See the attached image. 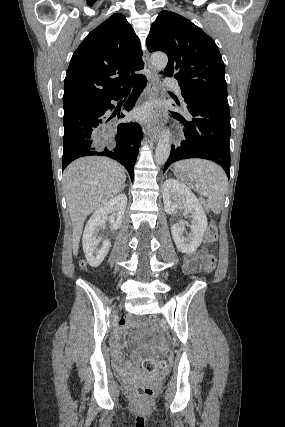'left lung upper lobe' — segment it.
<instances>
[{
    "label": "left lung upper lobe",
    "mask_w": 285,
    "mask_h": 427,
    "mask_svg": "<svg viewBox=\"0 0 285 427\" xmlns=\"http://www.w3.org/2000/svg\"><path fill=\"white\" fill-rule=\"evenodd\" d=\"M146 44L150 52L168 55L164 74L178 80L182 93L227 100L225 66L214 40L183 16L161 11Z\"/></svg>",
    "instance_id": "5c2ea615"
}]
</instances>
